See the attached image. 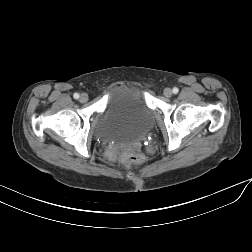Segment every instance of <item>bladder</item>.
<instances>
[{
    "label": "bladder",
    "mask_w": 252,
    "mask_h": 252,
    "mask_svg": "<svg viewBox=\"0 0 252 252\" xmlns=\"http://www.w3.org/2000/svg\"><path fill=\"white\" fill-rule=\"evenodd\" d=\"M153 114L141 88L119 84L112 88L108 103L93 127L100 141L133 142L153 125Z\"/></svg>",
    "instance_id": "obj_1"
}]
</instances>
